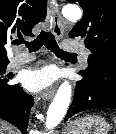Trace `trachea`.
<instances>
[{"label":"trachea","instance_id":"3493384b","mask_svg":"<svg viewBox=\"0 0 116 134\" xmlns=\"http://www.w3.org/2000/svg\"><path fill=\"white\" fill-rule=\"evenodd\" d=\"M13 44H25L26 47L30 52H36L40 49L43 45L50 50L51 52L55 53L58 57H73L76 54L68 53L61 50L51 32L41 31L36 39L31 42H27L24 39H19L13 42Z\"/></svg>","mask_w":116,"mask_h":134}]
</instances>
